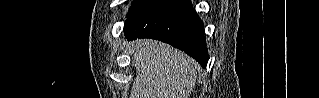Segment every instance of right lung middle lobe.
<instances>
[{
	"label": "right lung middle lobe",
	"instance_id": "1",
	"mask_svg": "<svg viewBox=\"0 0 319 98\" xmlns=\"http://www.w3.org/2000/svg\"><path fill=\"white\" fill-rule=\"evenodd\" d=\"M151 0H136L129 13H128V16H131L132 14H134L136 11H138L139 9H141L143 6H145L148 2H150Z\"/></svg>",
	"mask_w": 319,
	"mask_h": 98
}]
</instances>
